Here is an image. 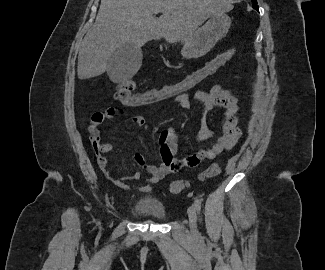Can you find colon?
<instances>
[{
	"mask_svg": "<svg viewBox=\"0 0 325 270\" xmlns=\"http://www.w3.org/2000/svg\"><path fill=\"white\" fill-rule=\"evenodd\" d=\"M234 54V49L226 50L225 52L206 62L200 68L186 75L180 81L157 88H152L143 92H135L134 82L131 80H124L118 83L115 97L122 104L131 107L149 106L169 100H175L177 97L187 94L190 90L197 87L208 77L215 74L233 57ZM219 172L220 166L218 164H212L205 171H203L198 178L200 180H204L218 175ZM187 186V181H174L170 185V191L171 193L177 194Z\"/></svg>",
	"mask_w": 325,
	"mask_h": 270,
	"instance_id": "obj_1",
	"label": "colon"
}]
</instances>
